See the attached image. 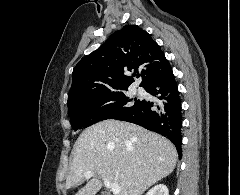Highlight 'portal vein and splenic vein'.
I'll list each match as a JSON object with an SVG mask.
<instances>
[{"instance_id": "obj_1", "label": "portal vein and splenic vein", "mask_w": 240, "mask_h": 195, "mask_svg": "<svg viewBox=\"0 0 240 195\" xmlns=\"http://www.w3.org/2000/svg\"><path fill=\"white\" fill-rule=\"evenodd\" d=\"M85 177H92V171H86ZM103 183L105 187H110V191H112L114 195H119L120 183H117V181H114V183H111V181H107V179H104Z\"/></svg>"}]
</instances>
